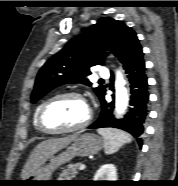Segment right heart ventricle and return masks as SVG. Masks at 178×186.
<instances>
[{
	"label": "right heart ventricle",
	"instance_id": "1",
	"mask_svg": "<svg viewBox=\"0 0 178 186\" xmlns=\"http://www.w3.org/2000/svg\"><path fill=\"white\" fill-rule=\"evenodd\" d=\"M41 104H39L35 110H34V113H33V125H34V128L38 131H41L38 127V124H37V114H38V110L40 108Z\"/></svg>",
	"mask_w": 178,
	"mask_h": 186
}]
</instances>
